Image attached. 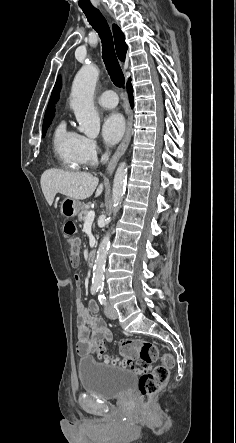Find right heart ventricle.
Segmentation results:
<instances>
[{
  "label": "right heart ventricle",
  "instance_id": "obj_1",
  "mask_svg": "<svg viewBox=\"0 0 236 443\" xmlns=\"http://www.w3.org/2000/svg\"><path fill=\"white\" fill-rule=\"evenodd\" d=\"M81 135L70 130L65 122L55 128L52 136V150L58 164L68 170H79L83 161L79 154Z\"/></svg>",
  "mask_w": 236,
  "mask_h": 443
}]
</instances>
